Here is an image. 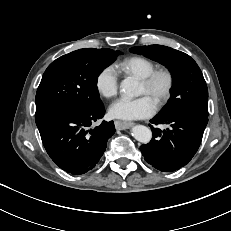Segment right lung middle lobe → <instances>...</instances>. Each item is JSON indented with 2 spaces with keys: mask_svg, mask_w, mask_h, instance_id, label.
I'll return each mask as SVG.
<instances>
[{
  "mask_svg": "<svg viewBox=\"0 0 231 231\" xmlns=\"http://www.w3.org/2000/svg\"><path fill=\"white\" fill-rule=\"evenodd\" d=\"M120 51L84 48L63 55L46 69L36 93V114L58 110L87 112L101 107L97 78Z\"/></svg>",
  "mask_w": 231,
  "mask_h": 231,
  "instance_id": "right-lung-middle-lobe-1",
  "label": "right lung middle lobe"
}]
</instances>
